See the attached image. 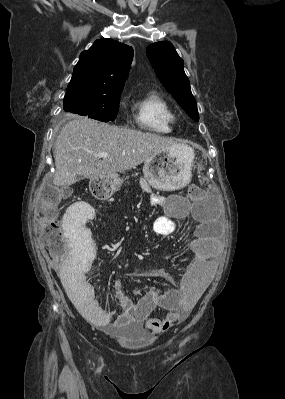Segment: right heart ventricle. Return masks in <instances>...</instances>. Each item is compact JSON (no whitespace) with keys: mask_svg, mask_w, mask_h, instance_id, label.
<instances>
[{"mask_svg":"<svg viewBox=\"0 0 285 399\" xmlns=\"http://www.w3.org/2000/svg\"><path fill=\"white\" fill-rule=\"evenodd\" d=\"M133 110L137 125L154 133H170L175 117L167 100L158 92L150 91L134 100Z\"/></svg>","mask_w":285,"mask_h":399,"instance_id":"obj_1","label":"right heart ventricle"}]
</instances>
